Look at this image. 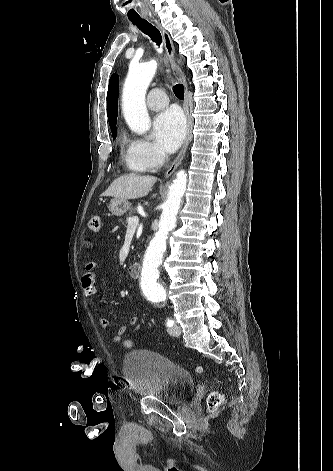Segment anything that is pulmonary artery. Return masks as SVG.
Segmentation results:
<instances>
[{
  "mask_svg": "<svg viewBox=\"0 0 333 471\" xmlns=\"http://www.w3.org/2000/svg\"><path fill=\"white\" fill-rule=\"evenodd\" d=\"M166 93L159 88L152 89L147 96V106L149 109L158 111L168 105Z\"/></svg>",
  "mask_w": 333,
  "mask_h": 471,
  "instance_id": "pulmonary-artery-1",
  "label": "pulmonary artery"
}]
</instances>
